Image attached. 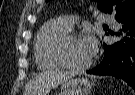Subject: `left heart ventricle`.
<instances>
[{
    "instance_id": "left-heart-ventricle-1",
    "label": "left heart ventricle",
    "mask_w": 135,
    "mask_h": 95,
    "mask_svg": "<svg viewBox=\"0 0 135 95\" xmlns=\"http://www.w3.org/2000/svg\"><path fill=\"white\" fill-rule=\"evenodd\" d=\"M66 56L70 62L75 64H82L89 60L82 43V38H74L67 44Z\"/></svg>"
}]
</instances>
